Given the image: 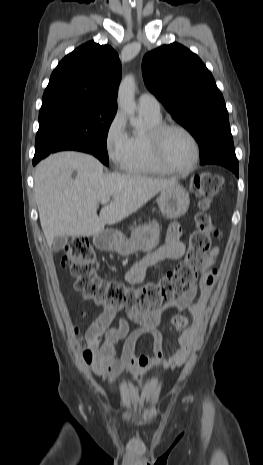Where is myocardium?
I'll list each match as a JSON object with an SVG mask.
<instances>
[{
	"label": "myocardium",
	"instance_id": "myocardium-1",
	"mask_svg": "<svg viewBox=\"0 0 263 465\" xmlns=\"http://www.w3.org/2000/svg\"><path fill=\"white\" fill-rule=\"evenodd\" d=\"M178 130L183 132L191 140L194 146L195 155L192 163L186 168H176L171 166L165 159L163 153V140L167 132ZM147 139L155 163L165 172L174 174H187L192 172L200 160V144L195 135L185 126L178 123H161L148 131Z\"/></svg>",
	"mask_w": 263,
	"mask_h": 465
}]
</instances>
